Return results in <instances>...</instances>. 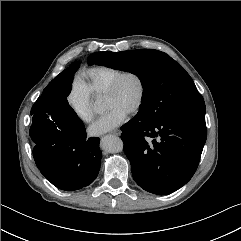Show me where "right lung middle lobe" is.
<instances>
[{"label":"right lung middle lobe","mask_w":241,"mask_h":241,"mask_svg":"<svg viewBox=\"0 0 241 241\" xmlns=\"http://www.w3.org/2000/svg\"><path fill=\"white\" fill-rule=\"evenodd\" d=\"M78 67L79 64L75 62L57 75L34 103L31 109L33 123L29 132L33 142L35 138L53 134L56 128L60 130L85 128L67 101V96L71 91L73 74Z\"/></svg>","instance_id":"obj_1"}]
</instances>
